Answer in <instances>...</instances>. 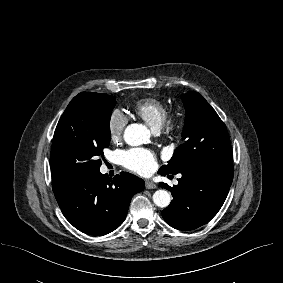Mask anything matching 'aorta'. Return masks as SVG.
<instances>
[{
	"label": "aorta",
	"mask_w": 283,
	"mask_h": 283,
	"mask_svg": "<svg viewBox=\"0 0 283 283\" xmlns=\"http://www.w3.org/2000/svg\"><path fill=\"white\" fill-rule=\"evenodd\" d=\"M150 132L145 125L133 123L127 126L124 132V140L131 146H139L148 141ZM153 202L160 208L167 207L171 202V196L166 190H157L153 194Z\"/></svg>",
	"instance_id": "1"
}]
</instances>
